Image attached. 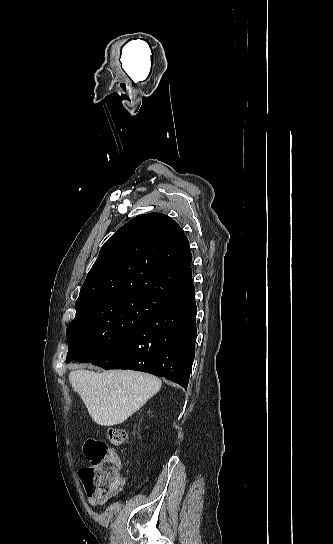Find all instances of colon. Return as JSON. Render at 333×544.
<instances>
[{
  "label": "colon",
  "mask_w": 333,
  "mask_h": 544,
  "mask_svg": "<svg viewBox=\"0 0 333 544\" xmlns=\"http://www.w3.org/2000/svg\"><path fill=\"white\" fill-rule=\"evenodd\" d=\"M108 443L94 438L84 445V454L91 465L79 470V477L87 492L110 490L122 481L120 475L121 459L112 446L122 445L126 432L119 427H109Z\"/></svg>",
  "instance_id": "1"
}]
</instances>
